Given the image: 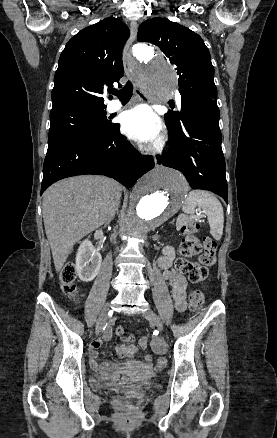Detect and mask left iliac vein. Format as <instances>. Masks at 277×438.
<instances>
[{"label":"left iliac vein","instance_id":"1","mask_svg":"<svg viewBox=\"0 0 277 438\" xmlns=\"http://www.w3.org/2000/svg\"><path fill=\"white\" fill-rule=\"evenodd\" d=\"M143 316L152 324H154L159 329V331L163 330V324L161 319L152 310H147L145 313H143Z\"/></svg>","mask_w":277,"mask_h":438}]
</instances>
